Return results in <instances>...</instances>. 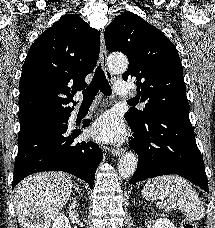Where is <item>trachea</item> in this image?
<instances>
[{
    "mask_svg": "<svg viewBox=\"0 0 215 228\" xmlns=\"http://www.w3.org/2000/svg\"><path fill=\"white\" fill-rule=\"evenodd\" d=\"M102 92L104 95H111L112 90L110 84L107 81L104 71L102 70L100 64L97 66L92 82L90 85L83 90V102L82 103H92L98 91ZM129 105H135L133 100H128Z\"/></svg>",
    "mask_w": 215,
    "mask_h": 228,
    "instance_id": "1",
    "label": "trachea"
}]
</instances>
